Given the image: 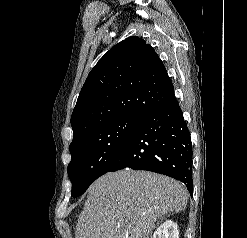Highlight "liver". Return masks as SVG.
Segmentation results:
<instances>
[{"mask_svg": "<svg viewBox=\"0 0 247 238\" xmlns=\"http://www.w3.org/2000/svg\"><path fill=\"white\" fill-rule=\"evenodd\" d=\"M188 193L178 181L125 169L107 173L89 188L75 238H150L155 222L185 210Z\"/></svg>", "mask_w": 247, "mask_h": 238, "instance_id": "6515ba94", "label": "liver"}]
</instances>
